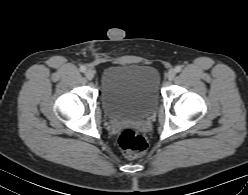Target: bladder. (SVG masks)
<instances>
[{
	"mask_svg": "<svg viewBox=\"0 0 248 195\" xmlns=\"http://www.w3.org/2000/svg\"><path fill=\"white\" fill-rule=\"evenodd\" d=\"M160 75L142 64H120L106 68L100 78V101L110 119H142L157 105Z\"/></svg>",
	"mask_w": 248,
	"mask_h": 195,
	"instance_id": "1",
	"label": "bladder"
}]
</instances>
